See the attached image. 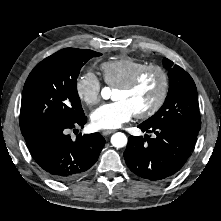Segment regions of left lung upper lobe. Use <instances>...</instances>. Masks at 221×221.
<instances>
[{"label":"left lung upper lobe","instance_id":"left-lung-upper-lobe-1","mask_svg":"<svg viewBox=\"0 0 221 221\" xmlns=\"http://www.w3.org/2000/svg\"><path fill=\"white\" fill-rule=\"evenodd\" d=\"M168 69L169 92L163 106L149 119L148 125H172L191 135L198 136L201 127L198 95L191 76L169 59L163 60Z\"/></svg>","mask_w":221,"mask_h":221}]
</instances>
